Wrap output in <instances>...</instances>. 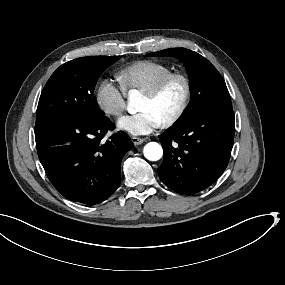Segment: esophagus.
Wrapping results in <instances>:
<instances>
[{"instance_id": "34e87169", "label": "esophagus", "mask_w": 285, "mask_h": 285, "mask_svg": "<svg viewBox=\"0 0 285 285\" xmlns=\"http://www.w3.org/2000/svg\"><path fill=\"white\" fill-rule=\"evenodd\" d=\"M131 140L135 145H139L143 143L144 141H146V138L132 137Z\"/></svg>"}]
</instances>
